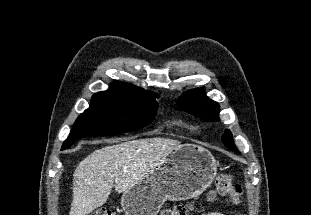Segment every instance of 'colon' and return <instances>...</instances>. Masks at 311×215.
<instances>
[{
    "label": "colon",
    "instance_id": "colon-1",
    "mask_svg": "<svg viewBox=\"0 0 311 215\" xmlns=\"http://www.w3.org/2000/svg\"><path fill=\"white\" fill-rule=\"evenodd\" d=\"M217 195H228L231 201L237 204L242 195V187L238 184H233L231 176L224 174L218 177L215 189L208 193V199L212 200ZM189 210L190 206L186 204H176L163 210L160 215H188ZM90 215H114V213L106 208H98Z\"/></svg>",
    "mask_w": 311,
    "mask_h": 215
}]
</instances>
